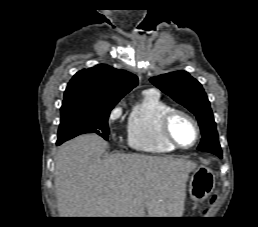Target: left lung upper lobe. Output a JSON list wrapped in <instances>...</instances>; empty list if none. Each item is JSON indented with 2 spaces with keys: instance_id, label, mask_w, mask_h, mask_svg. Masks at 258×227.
Segmentation results:
<instances>
[{
  "instance_id": "obj_1",
  "label": "left lung upper lobe",
  "mask_w": 258,
  "mask_h": 227,
  "mask_svg": "<svg viewBox=\"0 0 258 227\" xmlns=\"http://www.w3.org/2000/svg\"><path fill=\"white\" fill-rule=\"evenodd\" d=\"M150 81L196 116L202 132L198 150L211 152L222 158L213 113L202 85L185 71L159 75L150 78Z\"/></svg>"
}]
</instances>
